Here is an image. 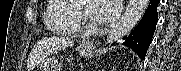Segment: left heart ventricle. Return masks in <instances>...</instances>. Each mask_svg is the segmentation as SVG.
Masks as SVG:
<instances>
[{"label":"left heart ventricle","instance_id":"obj_1","mask_svg":"<svg viewBox=\"0 0 181 71\" xmlns=\"http://www.w3.org/2000/svg\"><path fill=\"white\" fill-rule=\"evenodd\" d=\"M86 4L88 5V9L91 10V13L95 14L96 1L89 2V3H86Z\"/></svg>","mask_w":181,"mask_h":71}]
</instances>
